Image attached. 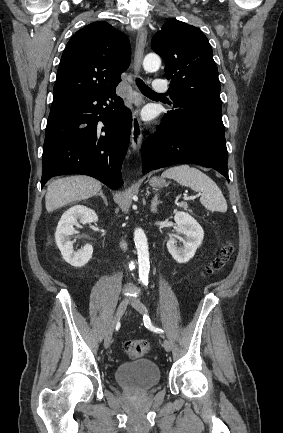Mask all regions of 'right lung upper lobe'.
<instances>
[{
  "mask_svg": "<svg viewBox=\"0 0 283 433\" xmlns=\"http://www.w3.org/2000/svg\"><path fill=\"white\" fill-rule=\"evenodd\" d=\"M127 36L104 21L77 31L61 57L51 107L115 89L130 64Z\"/></svg>",
  "mask_w": 283,
  "mask_h": 433,
  "instance_id": "obj_1",
  "label": "right lung upper lobe"
}]
</instances>
